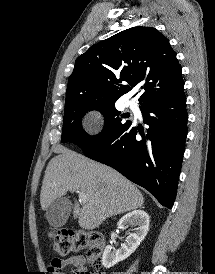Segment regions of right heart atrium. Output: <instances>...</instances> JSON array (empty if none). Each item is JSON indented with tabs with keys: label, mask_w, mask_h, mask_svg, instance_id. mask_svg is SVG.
Listing matches in <instances>:
<instances>
[{
	"label": "right heart atrium",
	"mask_w": 215,
	"mask_h": 274,
	"mask_svg": "<svg viewBox=\"0 0 215 274\" xmlns=\"http://www.w3.org/2000/svg\"><path fill=\"white\" fill-rule=\"evenodd\" d=\"M103 126V116L99 111L92 110L88 113L84 128L89 135H97Z\"/></svg>",
	"instance_id": "right-heart-atrium-1"
}]
</instances>
